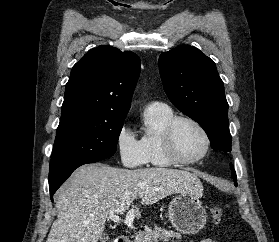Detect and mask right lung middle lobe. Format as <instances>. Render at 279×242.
<instances>
[{"instance_id":"dd1d6c3e","label":"right lung middle lobe","mask_w":279,"mask_h":242,"mask_svg":"<svg viewBox=\"0 0 279 242\" xmlns=\"http://www.w3.org/2000/svg\"><path fill=\"white\" fill-rule=\"evenodd\" d=\"M124 120L93 116L82 111L62 114L50 162L49 180L83 160L113 156Z\"/></svg>"}]
</instances>
